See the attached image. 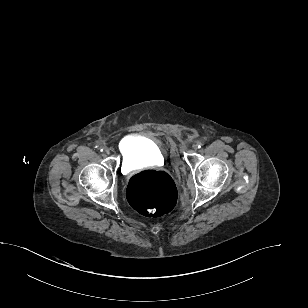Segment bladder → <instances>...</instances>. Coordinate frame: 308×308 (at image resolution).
<instances>
[{
    "label": "bladder",
    "instance_id": "31cf9c89",
    "mask_svg": "<svg viewBox=\"0 0 308 308\" xmlns=\"http://www.w3.org/2000/svg\"><path fill=\"white\" fill-rule=\"evenodd\" d=\"M122 163L129 168L156 165L163 161L160 145L143 134L127 136L120 144Z\"/></svg>",
    "mask_w": 308,
    "mask_h": 308
}]
</instances>
